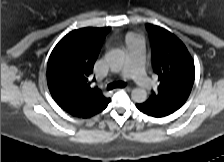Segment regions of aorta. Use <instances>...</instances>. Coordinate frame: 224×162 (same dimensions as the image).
<instances>
[{"label": "aorta", "mask_w": 224, "mask_h": 162, "mask_svg": "<svg viewBox=\"0 0 224 162\" xmlns=\"http://www.w3.org/2000/svg\"><path fill=\"white\" fill-rule=\"evenodd\" d=\"M106 61L113 72H120L124 62V54L121 51H112L107 54ZM131 99L136 103H143L147 100V92L143 88H134L131 92Z\"/></svg>", "instance_id": "762f6f07"}]
</instances>
